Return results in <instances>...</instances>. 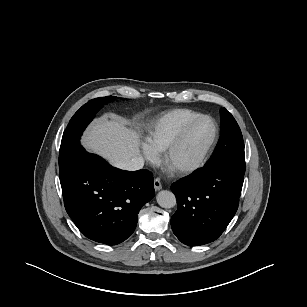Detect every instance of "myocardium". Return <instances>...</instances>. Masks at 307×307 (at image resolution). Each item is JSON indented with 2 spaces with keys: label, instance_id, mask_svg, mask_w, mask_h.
<instances>
[{
  "label": "myocardium",
  "instance_id": "myocardium-1",
  "mask_svg": "<svg viewBox=\"0 0 307 307\" xmlns=\"http://www.w3.org/2000/svg\"><path fill=\"white\" fill-rule=\"evenodd\" d=\"M205 119L210 120L213 123V125H214V136H213L211 143L209 144V146L207 147V149L203 153V155L200 157V159L198 161H196L195 163H193L189 166H184V167H174V166H172V164H171L172 156L175 153V151L177 150V148L180 146V144L182 143V141L184 140V138L186 137L188 132L192 129V127L195 124H197L199 121L205 120ZM218 138H219V125L213 117H211L209 115H200V116L190 120L188 123H186L183 126V128L179 131V133L176 135V137L169 144V146L165 149L164 157H163L165 166L170 171H172L173 173L178 174V175H188V174L196 172L197 170L202 168L205 165V163L207 162V160L209 159L213 149L215 148V146L217 144Z\"/></svg>",
  "mask_w": 307,
  "mask_h": 307
}]
</instances>
